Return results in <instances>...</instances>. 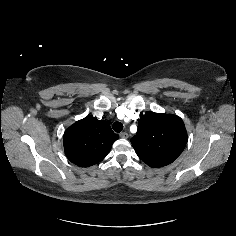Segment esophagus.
Here are the masks:
<instances>
[{"label": "esophagus", "instance_id": "1", "mask_svg": "<svg viewBox=\"0 0 236 236\" xmlns=\"http://www.w3.org/2000/svg\"><path fill=\"white\" fill-rule=\"evenodd\" d=\"M119 136H120V138L127 139L128 138V133L127 132H121Z\"/></svg>", "mask_w": 236, "mask_h": 236}]
</instances>
